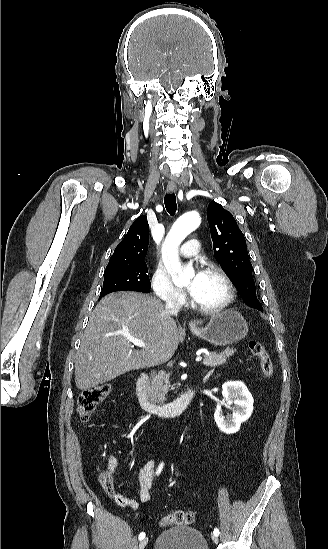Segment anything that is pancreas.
I'll return each instance as SVG.
<instances>
[{
	"label": "pancreas",
	"mask_w": 328,
	"mask_h": 549,
	"mask_svg": "<svg viewBox=\"0 0 328 549\" xmlns=\"http://www.w3.org/2000/svg\"><path fill=\"white\" fill-rule=\"evenodd\" d=\"M235 351L233 349H225L222 353H209L205 355L203 359V365L206 367H217V365H224L227 361V357H232ZM171 373H165L160 371L158 375L151 377L150 383L147 385L148 395L151 399H158L157 403H164L166 401V395L168 393L170 385Z\"/></svg>",
	"instance_id": "cf45deb5"
}]
</instances>
